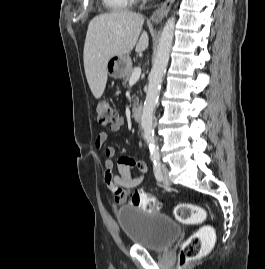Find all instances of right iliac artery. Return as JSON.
<instances>
[{
  "instance_id": "right-iliac-artery-1",
  "label": "right iliac artery",
  "mask_w": 265,
  "mask_h": 269,
  "mask_svg": "<svg viewBox=\"0 0 265 269\" xmlns=\"http://www.w3.org/2000/svg\"><path fill=\"white\" fill-rule=\"evenodd\" d=\"M156 158H157V157L154 156V157H152V160L154 161Z\"/></svg>"
}]
</instances>
